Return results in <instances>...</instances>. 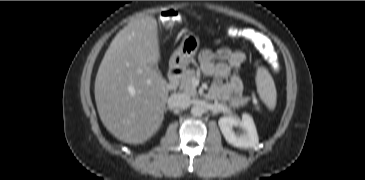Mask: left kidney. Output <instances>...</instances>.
<instances>
[{
	"label": "left kidney",
	"mask_w": 365,
	"mask_h": 180,
	"mask_svg": "<svg viewBox=\"0 0 365 180\" xmlns=\"http://www.w3.org/2000/svg\"><path fill=\"white\" fill-rule=\"evenodd\" d=\"M218 125L226 141L235 147L252 148L258 144L254 121L246 113L242 115V119L233 115L222 117Z\"/></svg>",
	"instance_id": "left-kidney-1"
}]
</instances>
